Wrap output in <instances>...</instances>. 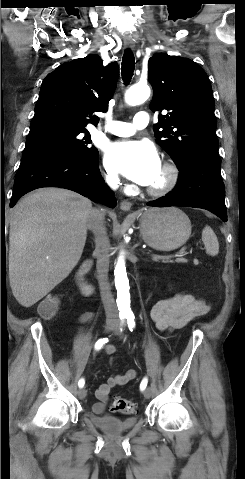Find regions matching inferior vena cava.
<instances>
[{
  "mask_svg": "<svg viewBox=\"0 0 245 479\" xmlns=\"http://www.w3.org/2000/svg\"><path fill=\"white\" fill-rule=\"evenodd\" d=\"M109 184L115 186L116 178L109 179ZM87 228L95 237V251L97 257V275L101 299L107 319H118V310L108 282L110 242L105 227V213L103 209L93 208L87 218Z\"/></svg>",
  "mask_w": 245,
  "mask_h": 479,
  "instance_id": "602c4592",
  "label": "inferior vena cava"
}]
</instances>
